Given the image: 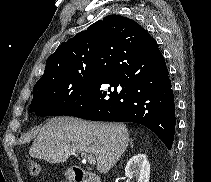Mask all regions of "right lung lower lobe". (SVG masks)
<instances>
[{
  "label": "right lung lower lobe",
  "instance_id": "right-lung-lower-lobe-1",
  "mask_svg": "<svg viewBox=\"0 0 211 182\" xmlns=\"http://www.w3.org/2000/svg\"><path fill=\"white\" fill-rule=\"evenodd\" d=\"M124 38L104 35L100 39L89 86L61 115L139 123L170 150L175 104L164 57L153 38L143 42Z\"/></svg>",
  "mask_w": 211,
  "mask_h": 182
}]
</instances>
